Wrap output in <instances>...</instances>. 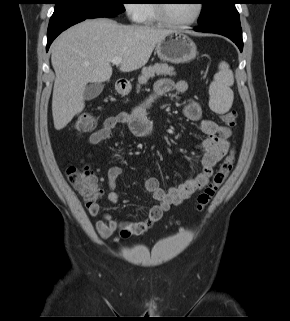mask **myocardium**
<instances>
[{
  "instance_id": "f54148a6",
  "label": "myocardium",
  "mask_w": 290,
  "mask_h": 321,
  "mask_svg": "<svg viewBox=\"0 0 290 321\" xmlns=\"http://www.w3.org/2000/svg\"><path fill=\"white\" fill-rule=\"evenodd\" d=\"M167 1L168 0H155V3H154V9H155L156 16H157L158 20L165 26L187 27V26H190V25H193L194 23H196L197 20L201 16V13L203 10V4L201 3V1L197 0L196 1V11H195L194 16L191 19H189L187 21H183V22L173 21L166 14V2Z\"/></svg>"
}]
</instances>
